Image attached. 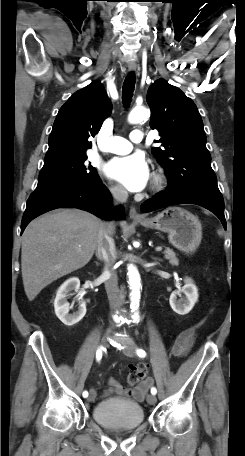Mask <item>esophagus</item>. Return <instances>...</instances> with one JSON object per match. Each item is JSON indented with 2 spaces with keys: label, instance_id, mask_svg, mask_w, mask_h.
Masks as SVG:
<instances>
[{
  "label": "esophagus",
  "instance_id": "34e87169",
  "mask_svg": "<svg viewBox=\"0 0 245 456\" xmlns=\"http://www.w3.org/2000/svg\"><path fill=\"white\" fill-rule=\"evenodd\" d=\"M128 70L131 71V72H132V71H135V70H136V66H135V65H129V66H128ZM129 216H130V218L133 219V220H142V219H144V217H143L141 214H139V213L137 212V210H136L135 207H131V208H130V210H129Z\"/></svg>",
  "mask_w": 245,
  "mask_h": 456
}]
</instances>
